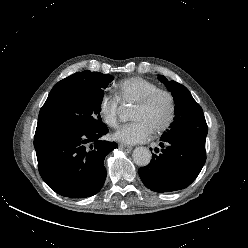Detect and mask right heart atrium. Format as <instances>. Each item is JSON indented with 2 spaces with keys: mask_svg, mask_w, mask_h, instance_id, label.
Here are the masks:
<instances>
[{
  "mask_svg": "<svg viewBox=\"0 0 248 248\" xmlns=\"http://www.w3.org/2000/svg\"><path fill=\"white\" fill-rule=\"evenodd\" d=\"M99 114L109 127H116L119 120L120 101L117 96L103 94L98 104Z\"/></svg>",
  "mask_w": 248,
  "mask_h": 248,
  "instance_id": "d8ad5b80",
  "label": "right heart atrium"
}]
</instances>
